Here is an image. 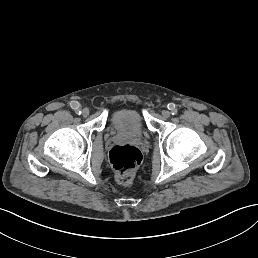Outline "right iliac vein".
<instances>
[{"instance_id": "obj_1", "label": "right iliac vein", "mask_w": 258, "mask_h": 258, "mask_svg": "<svg viewBox=\"0 0 258 258\" xmlns=\"http://www.w3.org/2000/svg\"><path fill=\"white\" fill-rule=\"evenodd\" d=\"M89 111H90L89 108H87V107L84 108V109L82 110V112H81V113H82V114H81L82 117H84V118L87 117V116L89 115V113H90Z\"/></svg>"}]
</instances>
